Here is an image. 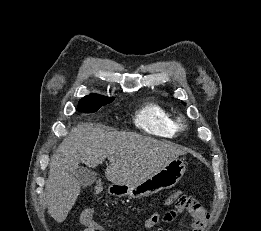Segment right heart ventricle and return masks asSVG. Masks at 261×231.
<instances>
[{"label":"right heart ventricle","mask_w":261,"mask_h":231,"mask_svg":"<svg viewBox=\"0 0 261 231\" xmlns=\"http://www.w3.org/2000/svg\"><path fill=\"white\" fill-rule=\"evenodd\" d=\"M134 123L139 129L158 137L172 138L178 131L173 114L155 102L142 105L135 112Z\"/></svg>","instance_id":"right-heart-ventricle-1"}]
</instances>
